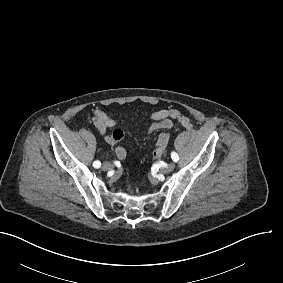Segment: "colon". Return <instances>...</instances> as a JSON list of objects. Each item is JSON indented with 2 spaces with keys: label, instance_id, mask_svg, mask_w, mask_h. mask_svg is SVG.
I'll return each mask as SVG.
<instances>
[{
  "label": "colon",
  "instance_id": "1",
  "mask_svg": "<svg viewBox=\"0 0 283 283\" xmlns=\"http://www.w3.org/2000/svg\"><path fill=\"white\" fill-rule=\"evenodd\" d=\"M169 140V135L167 133H162L158 140L156 141V144L153 148L152 152V158L154 161H158L161 159L165 152L166 148V142Z\"/></svg>",
  "mask_w": 283,
  "mask_h": 283
}]
</instances>
